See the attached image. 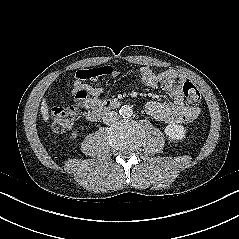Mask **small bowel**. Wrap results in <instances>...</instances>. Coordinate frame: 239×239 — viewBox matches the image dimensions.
I'll return each instance as SVG.
<instances>
[{
    "instance_id": "obj_1",
    "label": "small bowel",
    "mask_w": 239,
    "mask_h": 239,
    "mask_svg": "<svg viewBox=\"0 0 239 239\" xmlns=\"http://www.w3.org/2000/svg\"><path fill=\"white\" fill-rule=\"evenodd\" d=\"M94 70H101L99 75H92ZM141 81L150 88H157L164 83L172 95V101L168 103L149 102L146 105L147 113L154 119L164 123L188 124L193 122L199 115V109L195 106H187L181 92L184 78L171 72L157 73L149 66H143L139 70ZM107 75L117 78L120 72L112 67H99L80 69L77 71L73 82V95L76 103L86 109H93L103 101L101 96L104 90L94 87L87 81L96 82L101 76Z\"/></svg>"
}]
</instances>
